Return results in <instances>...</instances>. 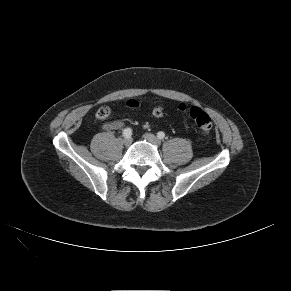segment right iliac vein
<instances>
[{
  "label": "right iliac vein",
  "mask_w": 291,
  "mask_h": 291,
  "mask_svg": "<svg viewBox=\"0 0 291 291\" xmlns=\"http://www.w3.org/2000/svg\"><path fill=\"white\" fill-rule=\"evenodd\" d=\"M131 142H132V140H131L130 137L125 138V139L123 140V143H124L125 146H129V145L131 144Z\"/></svg>",
  "instance_id": "obj_1"
}]
</instances>
